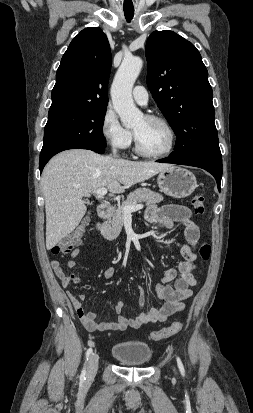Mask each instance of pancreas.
Segmentation results:
<instances>
[{
    "instance_id": "cf45deb5",
    "label": "pancreas",
    "mask_w": 253,
    "mask_h": 413,
    "mask_svg": "<svg viewBox=\"0 0 253 413\" xmlns=\"http://www.w3.org/2000/svg\"><path fill=\"white\" fill-rule=\"evenodd\" d=\"M163 200V196L159 193L153 192L147 188H139L134 192H131L127 199L119 205L112 216V219L103 223L101 233L107 240L116 239L123 227L124 212L123 207L136 205L141 202H145L147 205H155Z\"/></svg>"
}]
</instances>
